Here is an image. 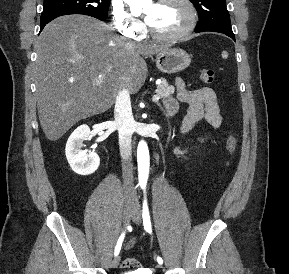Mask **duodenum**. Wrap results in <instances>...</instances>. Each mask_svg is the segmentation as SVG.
Here are the masks:
<instances>
[{"instance_id":"obj_1","label":"duodenum","mask_w":289,"mask_h":274,"mask_svg":"<svg viewBox=\"0 0 289 274\" xmlns=\"http://www.w3.org/2000/svg\"><path fill=\"white\" fill-rule=\"evenodd\" d=\"M168 117H169V118H171V117H172V115H168Z\"/></svg>"}]
</instances>
